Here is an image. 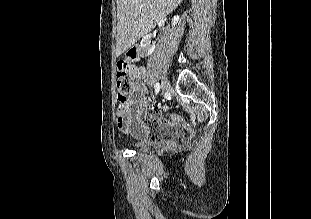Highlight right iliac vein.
Here are the masks:
<instances>
[{"mask_svg": "<svg viewBox=\"0 0 311 219\" xmlns=\"http://www.w3.org/2000/svg\"><path fill=\"white\" fill-rule=\"evenodd\" d=\"M161 89L163 92H166L169 89V82H168L167 78L162 79Z\"/></svg>", "mask_w": 311, "mask_h": 219, "instance_id": "1", "label": "right iliac vein"}]
</instances>
